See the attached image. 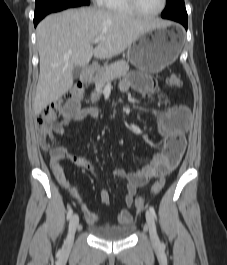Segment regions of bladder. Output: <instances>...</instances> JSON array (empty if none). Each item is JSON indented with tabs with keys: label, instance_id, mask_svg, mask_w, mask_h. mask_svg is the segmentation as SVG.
<instances>
[{
	"label": "bladder",
	"instance_id": "bladder-1",
	"mask_svg": "<svg viewBox=\"0 0 227 265\" xmlns=\"http://www.w3.org/2000/svg\"><path fill=\"white\" fill-rule=\"evenodd\" d=\"M88 231L97 239L115 242L128 239L134 233L135 225L132 222L119 226L91 225Z\"/></svg>",
	"mask_w": 227,
	"mask_h": 265
}]
</instances>
